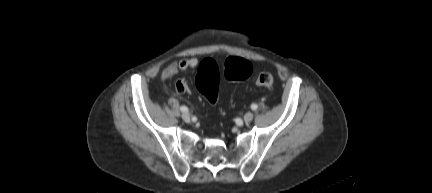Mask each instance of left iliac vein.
Segmentation results:
<instances>
[{"label": "left iliac vein", "mask_w": 432, "mask_h": 193, "mask_svg": "<svg viewBox=\"0 0 432 193\" xmlns=\"http://www.w3.org/2000/svg\"><path fill=\"white\" fill-rule=\"evenodd\" d=\"M253 118H254V115H253L252 112H247V113L244 115V121H245L246 123L251 122V121L253 120Z\"/></svg>", "instance_id": "left-iliac-vein-1"}]
</instances>
